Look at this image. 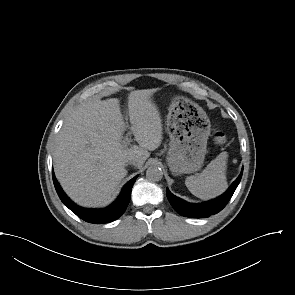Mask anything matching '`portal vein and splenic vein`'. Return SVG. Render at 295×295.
I'll use <instances>...</instances> for the list:
<instances>
[{
	"label": "portal vein and splenic vein",
	"instance_id": "portal-vein-and-splenic-vein-1",
	"mask_svg": "<svg viewBox=\"0 0 295 295\" xmlns=\"http://www.w3.org/2000/svg\"><path fill=\"white\" fill-rule=\"evenodd\" d=\"M131 134H132L131 132H128V136L130 138L128 136H126L125 140L122 142V145L123 146H126L127 147V145L130 144V142H131Z\"/></svg>",
	"mask_w": 295,
	"mask_h": 295
}]
</instances>
